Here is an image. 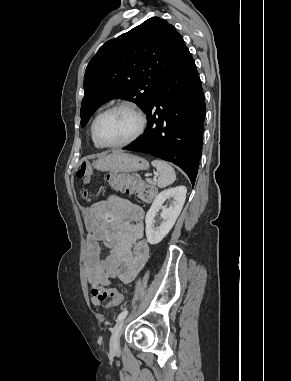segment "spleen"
<instances>
[{
  "mask_svg": "<svg viewBox=\"0 0 291 381\" xmlns=\"http://www.w3.org/2000/svg\"><path fill=\"white\" fill-rule=\"evenodd\" d=\"M152 165L159 172L157 185L159 188H165L176 180L175 170L165 161L153 160Z\"/></svg>",
  "mask_w": 291,
  "mask_h": 381,
  "instance_id": "3e777b00",
  "label": "spleen"
}]
</instances>
